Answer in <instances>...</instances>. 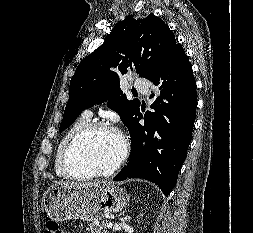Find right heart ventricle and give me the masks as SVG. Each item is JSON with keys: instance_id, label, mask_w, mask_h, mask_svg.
<instances>
[{"instance_id": "right-heart-ventricle-1", "label": "right heart ventricle", "mask_w": 253, "mask_h": 233, "mask_svg": "<svg viewBox=\"0 0 253 233\" xmlns=\"http://www.w3.org/2000/svg\"><path fill=\"white\" fill-rule=\"evenodd\" d=\"M89 117L81 115L77 120H75L68 130L64 133L61 140L58 143V146L54 155V171L59 177H67L65 171L62 167V156L65 150L66 145L70 139L85 125L89 123Z\"/></svg>"}]
</instances>
